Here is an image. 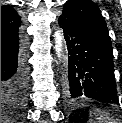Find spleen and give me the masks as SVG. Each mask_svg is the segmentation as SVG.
<instances>
[{
    "instance_id": "3e777b00",
    "label": "spleen",
    "mask_w": 122,
    "mask_h": 123,
    "mask_svg": "<svg viewBox=\"0 0 122 123\" xmlns=\"http://www.w3.org/2000/svg\"><path fill=\"white\" fill-rule=\"evenodd\" d=\"M91 114L94 116V119L89 121V123H108V117L103 111L96 109Z\"/></svg>"
}]
</instances>
